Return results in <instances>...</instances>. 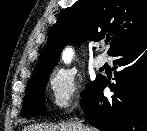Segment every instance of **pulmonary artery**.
Listing matches in <instances>:
<instances>
[{
  "mask_svg": "<svg viewBox=\"0 0 147 131\" xmlns=\"http://www.w3.org/2000/svg\"><path fill=\"white\" fill-rule=\"evenodd\" d=\"M108 59L104 54H100L96 56L94 60V64L96 67L100 68L103 67L107 63Z\"/></svg>",
  "mask_w": 147,
  "mask_h": 131,
  "instance_id": "pulmonary-artery-1",
  "label": "pulmonary artery"
}]
</instances>
